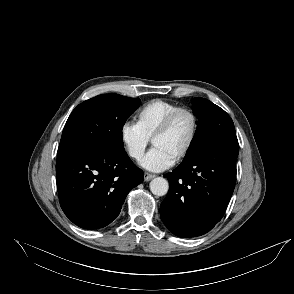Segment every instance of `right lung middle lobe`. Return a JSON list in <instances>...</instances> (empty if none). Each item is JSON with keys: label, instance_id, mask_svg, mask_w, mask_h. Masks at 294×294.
<instances>
[{"label": "right lung middle lobe", "instance_id": "dd1d6c3e", "mask_svg": "<svg viewBox=\"0 0 294 294\" xmlns=\"http://www.w3.org/2000/svg\"><path fill=\"white\" fill-rule=\"evenodd\" d=\"M140 103L137 98L106 94L79 104L64 126L57 158L76 149L123 147V126Z\"/></svg>", "mask_w": 294, "mask_h": 294}]
</instances>
